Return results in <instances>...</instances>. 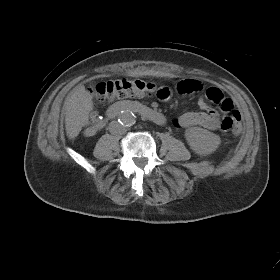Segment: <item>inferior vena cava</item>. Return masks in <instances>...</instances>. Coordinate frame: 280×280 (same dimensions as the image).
<instances>
[{"mask_svg":"<svg viewBox=\"0 0 280 280\" xmlns=\"http://www.w3.org/2000/svg\"><path fill=\"white\" fill-rule=\"evenodd\" d=\"M109 131L111 134L122 135V134H125L127 130H126L125 126L121 125L117 121H112L109 124Z\"/></svg>","mask_w":280,"mask_h":280,"instance_id":"1","label":"inferior vena cava"}]
</instances>
